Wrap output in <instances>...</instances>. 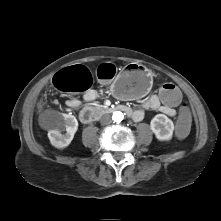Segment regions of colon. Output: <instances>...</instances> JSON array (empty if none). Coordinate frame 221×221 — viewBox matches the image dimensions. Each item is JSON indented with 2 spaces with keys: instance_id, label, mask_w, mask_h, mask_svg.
<instances>
[{
  "instance_id": "1",
  "label": "colon",
  "mask_w": 221,
  "mask_h": 221,
  "mask_svg": "<svg viewBox=\"0 0 221 221\" xmlns=\"http://www.w3.org/2000/svg\"><path fill=\"white\" fill-rule=\"evenodd\" d=\"M116 74V68L113 64L104 63L96 71L100 80H111ZM55 88L66 93H77L87 91L91 88L93 77L91 72L82 65H75L59 71L52 80ZM159 99L163 105L169 109L180 107L179 118L176 120L174 136L177 139H184L190 135L193 123L190 116V110L186 103H183V95L174 84H164L159 90ZM182 104V105H181ZM43 107L41 102L35 106L37 111Z\"/></svg>"
}]
</instances>
